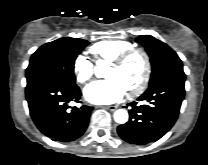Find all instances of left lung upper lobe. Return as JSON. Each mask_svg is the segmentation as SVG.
I'll return each mask as SVG.
<instances>
[{
    "label": "left lung upper lobe",
    "mask_w": 208,
    "mask_h": 165,
    "mask_svg": "<svg viewBox=\"0 0 208 165\" xmlns=\"http://www.w3.org/2000/svg\"><path fill=\"white\" fill-rule=\"evenodd\" d=\"M136 41L145 47L150 57L152 73L149 86L170 75H185L182 61L168 45L150 35L139 36Z\"/></svg>",
    "instance_id": "1"
}]
</instances>
